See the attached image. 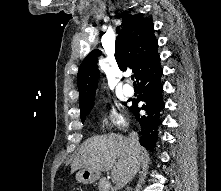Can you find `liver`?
<instances>
[{"label": "liver", "mask_w": 221, "mask_h": 191, "mask_svg": "<svg viewBox=\"0 0 221 191\" xmlns=\"http://www.w3.org/2000/svg\"><path fill=\"white\" fill-rule=\"evenodd\" d=\"M138 149L139 168L146 151L140 145ZM132 161L128 138L116 134L94 136L87 139L79 148L71 165V172L83 168L98 172L111 170L113 182L118 188H122L137 172L131 176Z\"/></svg>", "instance_id": "1"}]
</instances>
